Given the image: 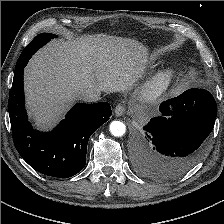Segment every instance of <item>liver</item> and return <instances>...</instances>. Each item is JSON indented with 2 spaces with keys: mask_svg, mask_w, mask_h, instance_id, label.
<instances>
[{
  "mask_svg": "<svg viewBox=\"0 0 224 224\" xmlns=\"http://www.w3.org/2000/svg\"><path fill=\"white\" fill-rule=\"evenodd\" d=\"M148 49L138 41L108 35L53 40L25 68L29 115L46 128L86 89L128 90L142 76Z\"/></svg>",
  "mask_w": 224,
  "mask_h": 224,
  "instance_id": "liver-1",
  "label": "liver"
}]
</instances>
